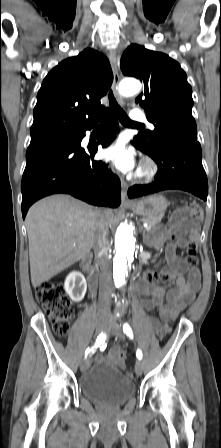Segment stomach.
Returning <instances> with one entry per match:
<instances>
[{
	"mask_svg": "<svg viewBox=\"0 0 221 448\" xmlns=\"http://www.w3.org/2000/svg\"><path fill=\"white\" fill-rule=\"evenodd\" d=\"M169 202L162 195H152L130 204L128 208L139 215L145 217L164 215Z\"/></svg>",
	"mask_w": 221,
	"mask_h": 448,
	"instance_id": "stomach-1",
	"label": "stomach"
}]
</instances>
